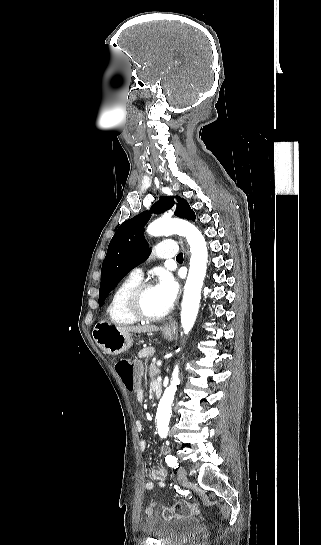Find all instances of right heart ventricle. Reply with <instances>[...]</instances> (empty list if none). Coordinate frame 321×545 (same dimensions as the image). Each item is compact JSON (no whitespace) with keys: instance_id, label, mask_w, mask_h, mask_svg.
I'll list each match as a JSON object with an SVG mask.
<instances>
[{"instance_id":"obj_1","label":"right heart ventricle","mask_w":321,"mask_h":545,"mask_svg":"<svg viewBox=\"0 0 321 545\" xmlns=\"http://www.w3.org/2000/svg\"><path fill=\"white\" fill-rule=\"evenodd\" d=\"M139 282L140 279L128 275L121 280L111 295L107 304L106 314L113 326L126 327L136 323L125 314L123 304L126 293Z\"/></svg>"}]
</instances>
